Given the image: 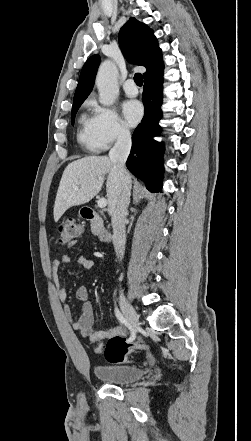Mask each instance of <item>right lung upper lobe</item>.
I'll return each instance as SVG.
<instances>
[{
  "label": "right lung upper lobe",
  "instance_id": "cb5924a9",
  "mask_svg": "<svg viewBox=\"0 0 251 441\" xmlns=\"http://www.w3.org/2000/svg\"><path fill=\"white\" fill-rule=\"evenodd\" d=\"M118 40L125 58L130 63L146 68L144 78L163 69L162 53L157 39L153 31L144 23L133 17L130 18L120 29ZM99 63L98 55H93L86 61L79 77L73 102L85 100L90 94Z\"/></svg>",
  "mask_w": 251,
  "mask_h": 441
}]
</instances>
